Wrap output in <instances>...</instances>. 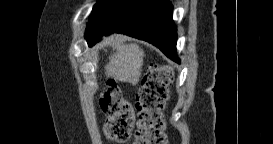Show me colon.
Listing matches in <instances>:
<instances>
[{
	"label": "colon",
	"mask_w": 273,
	"mask_h": 144,
	"mask_svg": "<svg viewBox=\"0 0 273 144\" xmlns=\"http://www.w3.org/2000/svg\"><path fill=\"white\" fill-rule=\"evenodd\" d=\"M171 78L167 67H154L145 74L136 95L139 111L137 144L168 143L162 110L169 96ZM100 106L106 117L104 134L107 139L116 143L127 142L134 125V112L114 82H108Z\"/></svg>",
	"instance_id": "obj_1"
}]
</instances>
